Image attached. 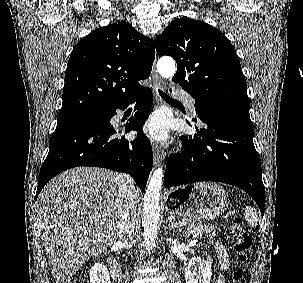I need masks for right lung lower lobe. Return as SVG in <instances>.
I'll return each mask as SVG.
<instances>
[{
	"label": "right lung lower lobe",
	"instance_id": "98d812e1",
	"mask_svg": "<svg viewBox=\"0 0 303 283\" xmlns=\"http://www.w3.org/2000/svg\"><path fill=\"white\" fill-rule=\"evenodd\" d=\"M137 101L136 113L129 119L126 132L138 130L137 138L127 141L118 136L110 124L117 109H125ZM153 103L152 91L145 88L131 101L106 110L108 119L101 124H70L56 127L50 138L49 153L38 179L36 198L54 176L78 166H94L128 173L144 192L153 166V154L148 138L140 132Z\"/></svg>",
	"mask_w": 303,
	"mask_h": 283
}]
</instances>
